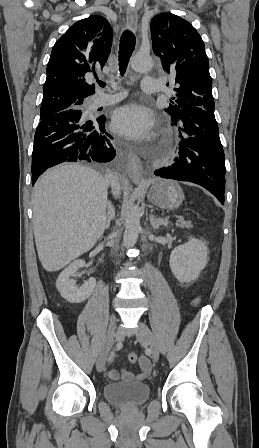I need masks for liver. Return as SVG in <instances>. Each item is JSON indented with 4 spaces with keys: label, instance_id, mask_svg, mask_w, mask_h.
Here are the masks:
<instances>
[{
    "label": "liver",
    "instance_id": "6515ba94",
    "mask_svg": "<svg viewBox=\"0 0 259 448\" xmlns=\"http://www.w3.org/2000/svg\"><path fill=\"white\" fill-rule=\"evenodd\" d=\"M108 186L99 172L79 162L60 164L38 178L32 222L44 270H62L103 236Z\"/></svg>",
    "mask_w": 259,
    "mask_h": 448
}]
</instances>
